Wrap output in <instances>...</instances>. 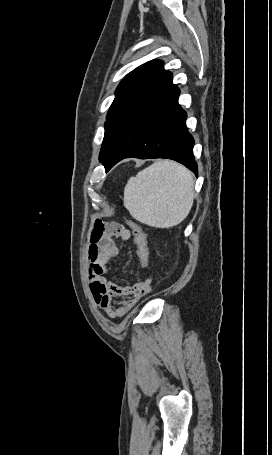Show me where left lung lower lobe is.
<instances>
[{
	"instance_id": "obj_1",
	"label": "left lung lower lobe",
	"mask_w": 272,
	"mask_h": 455,
	"mask_svg": "<svg viewBox=\"0 0 272 455\" xmlns=\"http://www.w3.org/2000/svg\"><path fill=\"white\" fill-rule=\"evenodd\" d=\"M180 90L172 82L149 101L123 128L102 163L108 172L124 158L175 160L198 175L194 139L186 112L178 104Z\"/></svg>"
}]
</instances>
